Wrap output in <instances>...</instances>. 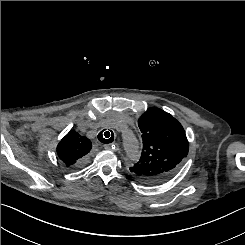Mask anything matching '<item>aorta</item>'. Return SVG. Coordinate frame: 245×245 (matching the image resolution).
<instances>
[{
  "instance_id": "762f6f07",
  "label": "aorta",
  "mask_w": 245,
  "mask_h": 245,
  "mask_svg": "<svg viewBox=\"0 0 245 245\" xmlns=\"http://www.w3.org/2000/svg\"><path fill=\"white\" fill-rule=\"evenodd\" d=\"M123 146L129 157H137L139 155V143L131 130L124 128L122 130Z\"/></svg>"
}]
</instances>
